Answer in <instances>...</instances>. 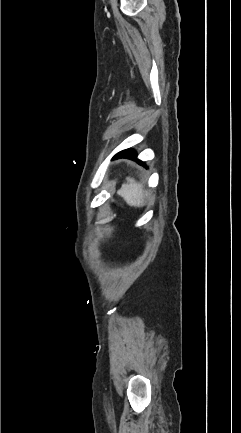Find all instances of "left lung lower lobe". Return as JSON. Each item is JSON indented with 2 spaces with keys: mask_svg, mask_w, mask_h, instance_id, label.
Segmentation results:
<instances>
[{
  "mask_svg": "<svg viewBox=\"0 0 241 433\" xmlns=\"http://www.w3.org/2000/svg\"><path fill=\"white\" fill-rule=\"evenodd\" d=\"M118 157H127V158H130V159H136V158H137V153H136L134 150L127 149V150H124V151L119 152V153L115 156V158H118ZM139 163H140L141 165H144V163L141 162V161H139Z\"/></svg>",
  "mask_w": 241,
  "mask_h": 433,
  "instance_id": "1",
  "label": "left lung lower lobe"
}]
</instances>
